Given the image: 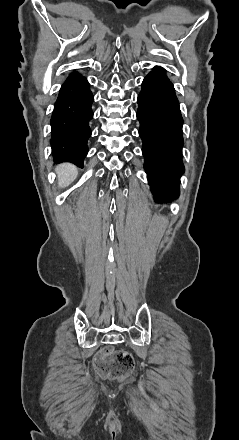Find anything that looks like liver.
Returning <instances> with one entry per match:
<instances>
[{"instance_id":"1","label":"liver","mask_w":239,"mask_h":440,"mask_svg":"<svg viewBox=\"0 0 239 440\" xmlns=\"http://www.w3.org/2000/svg\"><path fill=\"white\" fill-rule=\"evenodd\" d=\"M55 170L58 174L59 188H66V186H69V184L74 182L75 178H77L78 170L76 166H72V164H60Z\"/></svg>"}]
</instances>
